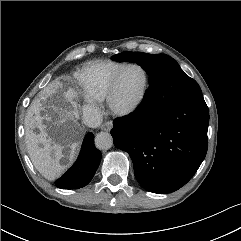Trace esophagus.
<instances>
[{
    "label": "esophagus",
    "instance_id": "34e87169",
    "mask_svg": "<svg viewBox=\"0 0 241 241\" xmlns=\"http://www.w3.org/2000/svg\"><path fill=\"white\" fill-rule=\"evenodd\" d=\"M112 127H113V124H112V122H106V123H104L102 126H101V130H103V131H110L111 129H112Z\"/></svg>",
    "mask_w": 241,
    "mask_h": 241
}]
</instances>
